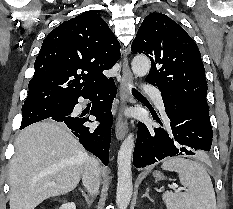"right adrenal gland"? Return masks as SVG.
<instances>
[{
	"label": "right adrenal gland",
	"instance_id": "obj_1",
	"mask_svg": "<svg viewBox=\"0 0 233 209\" xmlns=\"http://www.w3.org/2000/svg\"><path fill=\"white\" fill-rule=\"evenodd\" d=\"M79 190L82 193V196L84 197L86 203L90 205L93 202V198H90L83 189L80 188Z\"/></svg>",
	"mask_w": 233,
	"mask_h": 209
}]
</instances>
